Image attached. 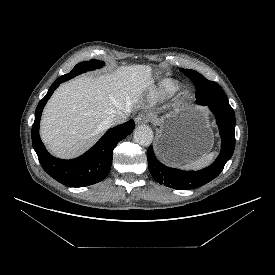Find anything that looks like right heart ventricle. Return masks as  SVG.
Returning <instances> with one entry per match:
<instances>
[{
	"mask_svg": "<svg viewBox=\"0 0 275 275\" xmlns=\"http://www.w3.org/2000/svg\"><path fill=\"white\" fill-rule=\"evenodd\" d=\"M179 90V86L172 80H163L158 83L149 93V99L157 102L174 95Z\"/></svg>",
	"mask_w": 275,
	"mask_h": 275,
	"instance_id": "1",
	"label": "right heart ventricle"
}]
</instances>
